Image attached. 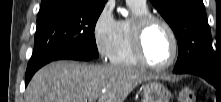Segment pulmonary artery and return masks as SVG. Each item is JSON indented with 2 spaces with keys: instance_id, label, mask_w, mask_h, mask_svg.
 <instances>
[{
  "instance_id": "1",
  "label": "pulmonary artery",
  "mask_w": 221,
  "mask_h": 102,
  "mask_svg": "<svg viewBox=\"0 0 221 102\" xmlns=\"http://www.w3.org/2000/svg\"><path fill=\"white\" fill-rule=\"evenodd\" d=\"M128 3H132L138 6H146V0H127Z\"/></svg>"
}]
</instances>
